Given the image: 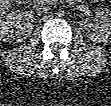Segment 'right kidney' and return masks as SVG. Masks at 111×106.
<instances>
[{
	"label": "right kidney",
	"mask_w": 111,
	"mask_h": 106,
	"mask_svg": "<svg viewBox=\"0 0 111 106\" xmlns=\"http://www.w3.org/2000/svg\"><path fill=\"white\" fill-rule=\"evenodd\" d=\"M35 23L36 18L32 12L11 11L1 20V38L9 43L20 42L32 33Z\"/></svg>",
	"instance_id": "1"
}]
</instances>
